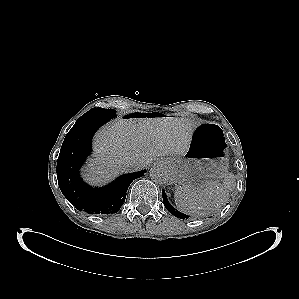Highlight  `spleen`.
<instances>
[{"instance_id":"3e777b00","label":"spleen","mask_w":299,"mask_h":299,"mask_svg":"<svg viewBox=\"0 0 299 299\" xmlns=\"http://www.w3.org/2000/svg\"><path fill=\"white\" fill-rule=\"evenodd\" d=\"M236 186L235 176L227 173L223 183L215 182L204 189L178 186L175 190L176 207L192 216H205L225 205Z\"/></svg>"}]
</instances>
